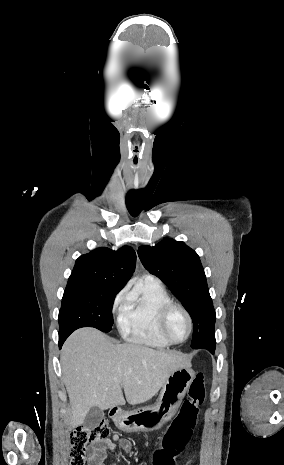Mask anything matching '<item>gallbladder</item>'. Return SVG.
I'll list each match as a JSON object with an SVG mask.
<instances>
[{
	"instance_id": "obj_1",
	"label": "gallbladder",
	"mask_w": 284,
	"mask_h": 465,
	"mask_svg": "<svg viewBox=\"0 0 284 465\" xmlns=\"http://www.w3.org/2000/svg\"><path fill=\"white\" fill-rule=\"evenodd\" d=\"M102 419H104L103 411H100L97 407H92L87 417H85L83 425L87 429H95V427H99Z\"/></svg>"
}]
</instances>
